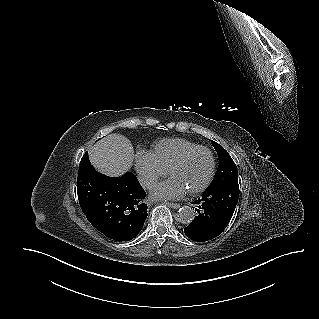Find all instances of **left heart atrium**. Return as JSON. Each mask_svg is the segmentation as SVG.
<instances>
[{"mask_svg":"<svg viewBox=\"0 0 319 319\" xmlns=\"http://www.w3.org/2000/svg\"><path fill=\"white\" fill-rule=\"evenodd\" d=\"M186 188L175 178H169L151 190V197L154 199H176L183 196Z\"/></svg>","mask_w":319,"mask_h":319,"instance_id":"1","label":"left heart atrium"}]
</instances>
